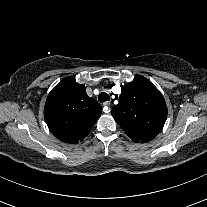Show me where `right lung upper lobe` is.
<instances>
[{
	"label": "right lung upper lobe",
	"mask_w": 207,
	"mask_h": 207,
	"mask_svg": "<svg viewBox=\"0 0 207 207\" xmlns=\"http://www.w3.org/2000/svg\"><path fill=\"white\" fill-rule=\"evenodd\" d=\"M101 111L100 104L86 94L85 86L69 77L49 93L44 117L55 137L76 144L88 135Z\"/></svg>",
	"instance_id": "1"
}]
</instances>
